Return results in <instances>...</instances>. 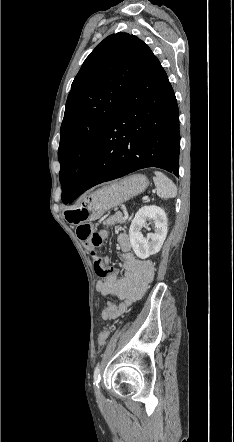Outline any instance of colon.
<instances>
[{"instance_id": "obj_1", "label": "colon", "mask_w": 234, "mask_h": 442, "mask_svg": "<svg viewBox=\"0 0 234 442\" xmlns=\"http://www.w3.org/2000/svg\"><path fill=\"white\" fill-rule=\"evenodd\" d=\"M77 236L82 241L84 246L89 250V252L95 253L96 248L101 244V239L98 233L94 230L93 226L90 224H81L77 227ZM109 331L103 330L99 334L98 343L100 346L106 343Z\"/></svg>"}]
</instances>
